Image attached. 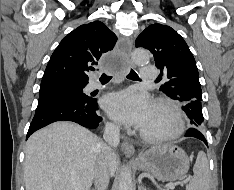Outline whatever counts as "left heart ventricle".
<instances>
[{
  "instance_id": "1",
  "label": "left heart ventricle",
  "mask_w": 234,
  "mask_h": 190,
  "mask_svg": "<svg viewBox=\"0 0 234 190\" xmlns=\"http://www.w3.org/2000/svg\"><path fill=\"white\" fill-rule=\"evenodd\" d=\"M173 125V119L168 112L162 108L153 106L151 116L142 130L152 133L162 132L172 128Z\"/></svg>"
}]
</instances>
